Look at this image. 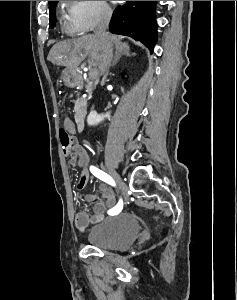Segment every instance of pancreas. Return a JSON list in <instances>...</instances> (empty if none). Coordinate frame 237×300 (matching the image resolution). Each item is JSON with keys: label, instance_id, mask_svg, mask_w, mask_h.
<instances>
[{"label": "pancreas", "instance_id": "pancreas-1", "mask_svg": "<svg viewBox=\"0 0 237 300\" xmlns=\"http://www.w3.org/2000/svg\"><path fill=\"white\" fill-rule=\"evenodd\" d=\"M87 83H89V87H90V85H92L91 79H87ZM88 91H89V93H90L91 89H88Z\"/></svg>", "mask_w": 237, "mask_h": 300}]
</instances>
